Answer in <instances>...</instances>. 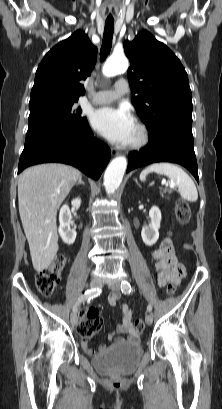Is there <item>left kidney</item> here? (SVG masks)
<instances>
[{
    "label": "left kidney",
    "mask_w": 222,
    "mask_h": 409,
    "mask_svg": "<svg viewBox=\"0 0 222 409\" xmlns=\"http://www.w3.org/2000/svg\"><path fill=\"white\" fill-rule=\"evenodd\" d=\"M149 217L151 223L142 228L141 237L146 245L152 246L159 238V228L162 218L160 209L157 206H153L149 211Z\"/></svg>",
    "instance_id": "obj_1"
}]
</instances>
